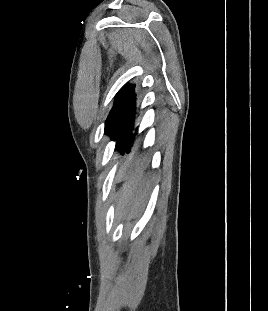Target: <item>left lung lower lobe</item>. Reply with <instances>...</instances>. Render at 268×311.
Listing matches in <instances>:
<instances>
[{
    "mask_svg": "<svg viewBox=\"0 0 268 311\" xmlns=\"http://www.w3.org/2000/svg\"><path fill=\"white\" fill-rule=\"evenodd\" d=\"M139 116V113H137L136 94L134 88L126 102V105L119 115L118 127L112 137V140L116 141L115 150L118 149L121 154L124 152L128 153L133 147L135 141H137V137L142 135H138V127H136Z\"/></svg>",
    "mask_w": 268,
    "mask_h": 311,
    "instance_id": "0a47b994",
    "label": "left lung lower lobe"
}]
</instances>
